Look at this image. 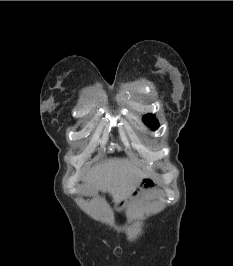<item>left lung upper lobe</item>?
I'll return each instance as SVG.
<instances>
[{
  "mask_svg": "<svg viewBox=\"0 0 233 266\" xmlns=\"http://www.w3.org/2000/svg\"><path fill=\"white\" fill-rule=\"evenodd\" d=\"M143 122L151 127L152 130H156L159 127V123L153 114L143 116Z\"/></svg>",
  "mask_w": 233,
  "mask_h": 266,
  "instance_id": "obj_1",
  "label": "left lung upper lobe"
}]
</instances>
